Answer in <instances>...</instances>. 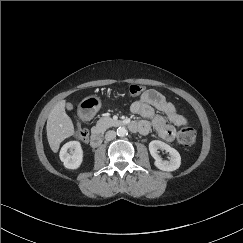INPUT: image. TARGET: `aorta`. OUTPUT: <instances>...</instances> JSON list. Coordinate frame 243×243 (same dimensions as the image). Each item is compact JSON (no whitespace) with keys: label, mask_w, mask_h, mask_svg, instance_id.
Instances as JSON below:
<instances>
[{"label":"aorta","mask_w":243,"mask_h":243,"mask_svg":"<svg viewBox=\"0 0 243 243\" xmlns=\"http://www.w3.org/2000/svg\"><path fill=\"white\" fill-rule=\"evenodd\" d=\"M128 133L127 129L125 127H119L117 129V135L120 136V137H124L126 136Z\"/></svg>","instance_id":"1"}]
</instances>
